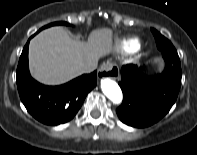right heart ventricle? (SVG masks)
Wrapping results in <instances>:
<instances>
[{
    "instance_id": "obj_1",
    "label": "right heart ventricle",
    "mask_w": 197,
    "mask_h": 155,
    "mask_svg": "<svg viewBox=\"0 0 197 155\" xmlns=\"http://www.w3.org/2000/svg\"><path fill=\"white\" fill-rule=\"evenodd\" d=\"M120 47L127 51H135L140 47V42L135 38L126 39L120 42Z\"/></svg>"
}]
</instances>
